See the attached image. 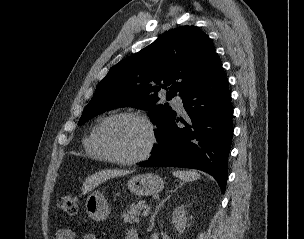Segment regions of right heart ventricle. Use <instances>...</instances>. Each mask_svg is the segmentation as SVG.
Instances as JSON below:
<instances>
[{"instance_id":"right-heart-ventricle-1","label":"right heart ventricle","mask_w":304,"mask_h":239,"mask_svg":"<svg viewBox=\"0 0 304 239\" xmlns=\"http://www.w3.org/2000/svg\"><path fill=\"white\" fill-rule=\"evenodd\" d=\"M99 124H97L84 140V150L86 154L92 158L106 160L107 158L98 149L95 143V132Z\"/></svg>"}]
</instances>
